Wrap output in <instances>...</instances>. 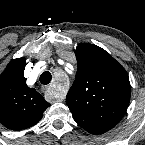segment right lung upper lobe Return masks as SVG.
Returning <instances> with one entry per match:
<instances>
[{
	"label": "right lung upper lobe",
	"mask_w": 145,
	"mask_h": 145,
	"mask_svg": "<svg viewBox=\"0 0 145 145\" xmlns=\"http://www.w3.org/2000/svg\"><path fill=\"white\" fill-rule=\"evenodd\" d=\"M25 58L10 61L0 76V123L21 130L38 123L50 104L25 83Z\"/></svg>",
	"instance_id": "right-lung-upper-lobe-1"
}]
</instances>
